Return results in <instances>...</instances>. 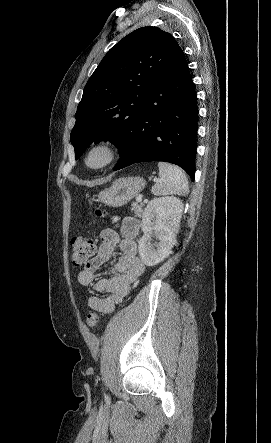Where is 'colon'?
Instances as JSON below:
<instances>
[{
  "instance_id": "colon-1",
  "label": "colon",
  "mask_w": 271,
  "mask_h": 443,
  "mask_svg": "<svg viewBox=\"0 0 271 443\" xmlns=\"http://www.w3.org/2000/svg\"><path fill=\"white\" fill-rule=\"evenodd\" d=\"M97 215H102L97 211ZM71 262L75 266L85 265L96 251L95 242L82 234H76L71 238ZM98 315L95 311L87 314V323L91 328H95L98 324Z\"/></svg>"
}]
</instances>
